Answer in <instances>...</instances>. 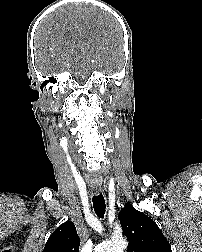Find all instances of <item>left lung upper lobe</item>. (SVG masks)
I'll list each match as a JSON object with an SVG mask.
<instances>
[{"instance_id": "left-lung-upper-lobe-1", "label": "left lung upper lobe", "mask_w": 202, "mask_h": 252, "mask_svg": "<svg viewBox=\"0 0 202 252\" xmlns=\"http://www.w3.org/2000/svg\"><path fill=\"white\" fill-rule=\"evenodd\" d=\"M119 219L123 233L129 240L127 252H172L156 223L131 204L122 209Z\"/></svg>"}]
</instances>
